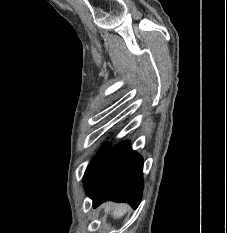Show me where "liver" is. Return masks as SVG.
I'll return each mask as SVG.
<instances>
[{
  "instance_id": "obj_1",
  "label": "liver",
  "mask_w": 227,
  "mask_h": 233,
  "mask_svg": "<svg viewBox=\"0 0 227 233\" xmlns=\"http://www.w3.org/2000/svg\"><path fill=\"white\" fill-rule=\"evenodd\" d=\"M103 209L106 213H111L114 219H119L124 216L129 207L126 204H113L109 202L103 205Z\"/></svg>"
}]
</instances>
